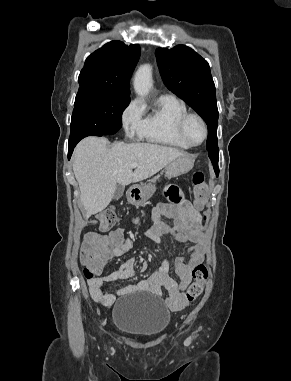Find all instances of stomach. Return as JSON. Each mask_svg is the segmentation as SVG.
Listing matches in <instances>:
<instances>
[{
  "label": "stomach",
  "instance_id": "1",
  "mask_svg": "<svg viewBox=\"0 0 291 381\" xmlns=\"http://www.w3.org/2000/svg\"><path fill=\"white\" fill-rule=\"evenodd\" d=\"M194 160L188 155L176 158L166 167L165 176L173 178L187 173L192 169ZM155 192V187L151 184L147 186H134L128 194V201L133 205L145 203Z\"/></svg>",
  "mask_w": 291,
  "mask_h": 381
}]
</instances>
